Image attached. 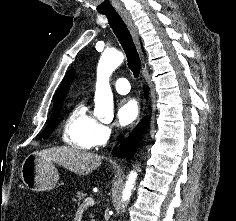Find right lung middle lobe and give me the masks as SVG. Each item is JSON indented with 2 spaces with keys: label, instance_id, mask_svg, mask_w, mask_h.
I'll use <instances>...</instances> for the list:
<instances>
[{
  "label": "right lung middle lobe",
  "instance_id": "dd1d6c3e",
  "mask_svg": "<svg viewBox=\"0 0 236 221\" xmlns=\"http://www.w3.org/2000/svg\"><path fill=\"white\" fill-rule=\"evenodd\" d=\"M61 109H62V104L53 106L51 120L49 121L46 128L44 129L42 133V138L44 139L48 138L51 135V133L54 131L58 122V117L60 116V113H61Z\"/></svg>",
  "mask_w": 236,
  "mask_h": 221
}]
</instances>
